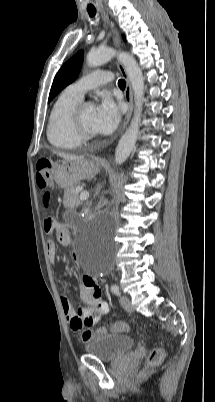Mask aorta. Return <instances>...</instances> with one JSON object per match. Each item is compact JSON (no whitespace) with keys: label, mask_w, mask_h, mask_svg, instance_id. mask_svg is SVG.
<instances>
[{"label":"aorta","mask_w":215,"mask_h":402,"mask_svg":"<svg viewBox=\"0 0 215 402\" xmlns=\"http://www.w3.org/2000/svg\"><path fill=\"white\" fill-rule=\"evenodd\" d=\"M115 56L125 68L133 89L135 102L134 116L128 129L119 140L115 150V162L116 164L121 165L127 160L132 152L138 136L142 103L144 99V78L142 70L132 55L125 52H116L110 47L100 48L89 52L87 55V64L90 67H97L110 61Z\"/></svg>","instance_id":"obj_1"}]
</instances>
